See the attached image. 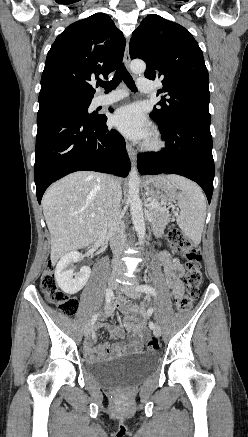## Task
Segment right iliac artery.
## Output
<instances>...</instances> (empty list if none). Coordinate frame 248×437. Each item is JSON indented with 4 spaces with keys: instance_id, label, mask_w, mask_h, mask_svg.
Wrapping results in <instances>:
<instances>
[{
    "instance_id": "1",
    "label": "right iliac artery",
    "mask_w": 248,
    "mask_h": 437,
    "mask_svg": "<svg viewBox=\"0 0 248 437\" xmlns=\"http://www.w3.org/2000/svg\"><path fill=\"white\" fill-rule=\"evenodd\" d=\"M113 296V292L111 289H107L106 290V304H109L111 301V298ZM98 314H94L91 318V325L93 327V325L95 324L96 320H97Z\"/></svg>"
}]
</instances>
